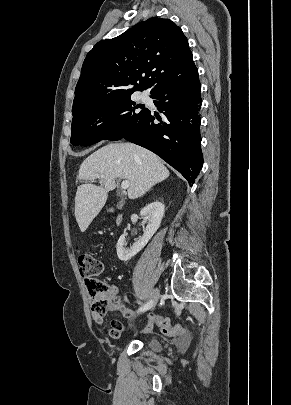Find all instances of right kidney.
<instances>
[{
  "label": "right kidney",
  "instance_id": "right-kidney-1",
  "mask_svg": "<svg viewBox=\"0 0 291 405\" xmlns=\"http://www.w3.org/2000/svg\"><path fill=\"white\" fill-rule=\"evenodd\" d=\"M164 212L165 206L159 201L152 202L141 210L140 215L144 217V220L147 223L146 229L144 230L143 236L137 240L132 247H130V249L124 248L126 243L125 235L120 236L116 249L117 256L121 261L130 260L145 247V245L160 227Z\"/></svg>",
  "mask_w": 291,
  "mask_h": 405
}]
</instances>
